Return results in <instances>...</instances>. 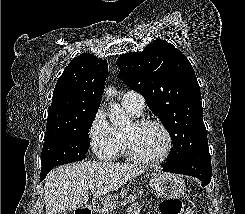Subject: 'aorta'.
I'll use <instances>...</instances> for the list:
<instances>
[{
    "mask_svg": "<svg viewBox=\"0 0 245 214\" xmlns=\"http://www.w3.org/2000/svg\"><path fill=\"white\" fill-rule=\"evenodd\" d=\"M115 94V88L109 87L106 90V95L108 98L113 97ZM108 118L110 122L115 126H123L127 122V116L120 105L116 102L112 101L109 104Z\"/></svg>",
    "mask_w": 245,
    "mask_h": 214,
    "instance_id": "1",
    "label": "aorta"
}]
</instances>
